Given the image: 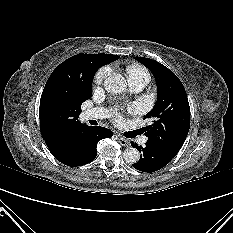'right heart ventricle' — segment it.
<instances>
[{"label":"right heart ventricle","instance_id":"e07e8e85","mask_svg":"<svg viewBox=\"0 0 233 233\" xmlns=\"http://www.w3.org/2000/svg\"><path fill=\"white\" fill-rule=\"evenodd\" d=\"M127 75H128V80L133 79V80H143L146 83L150 79V75L148 71L139 65H131L127 67Z\"/></svg>","mask_w":233,"mask_h":233}]
</instances>
